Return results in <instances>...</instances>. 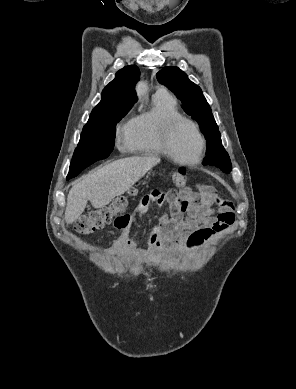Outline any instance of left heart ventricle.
<instances>
[{
	"label": "left heart ventricle",
	"instance_id": "left-heart-ventricle-1",
	"mask_svg": "<svg viewBox=\"0 0 296 389\" xmlns=\"http://www.w3.org/2000/svg\"><path fill=\"white\" fill-rule=\"evenodd\" d=\"M172 149L181 159L193 160L197 157L200 148L198 136L187 123H180L172 135Z\"/></svg>",
	"mask_w": 296,
	"mask_h": 389
}]
</instances>
